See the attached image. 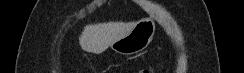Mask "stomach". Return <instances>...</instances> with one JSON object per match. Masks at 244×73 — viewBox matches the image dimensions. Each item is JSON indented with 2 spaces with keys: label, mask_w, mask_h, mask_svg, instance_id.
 <instances>
[{
  "label": "stomach",
  "mask_w": 244,
  "mask_h": 73,
  "mask_svg": "<svg viewBox=\"0 0 244 73\" xmlns=\"http://www.w3.org/2000/svg\"><path fill=\"white\" fill-rule=\"evenodd\" d=\"M155 33V22L151 17L138 21L124 37L114 41L110 48L121 55L137 54L150 44Z\"/></svg>",
  "instance_id": "1"
}]
</instances>
